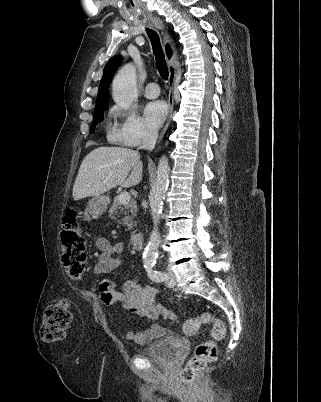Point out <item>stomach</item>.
I'll return each mask as SVG.
<instances>
[{
  "label": "stomach",
  "instance_id": "stomach-1",
  "mask_svg": "<svg viewBox=\"0 0 321 402\" xmlns=\"http://www.w3.org/2000/svg\"><path fill=\"white\" fill-rule=\"evenodd\" d=\"M109 198L106 196H94L87 203V207L83 213L85 221H92L101 216L107 209Z\"/></svg>",
  "mask_w": 321,
  "mask_h": 402
}]
</instances>
